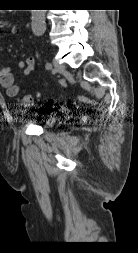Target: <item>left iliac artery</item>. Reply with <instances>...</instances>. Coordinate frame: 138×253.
<instances>
[{
  "instance_id": "44dca946",
  "label": "left iliac artery",
  "mask_w": 138,
  "mask_h": 253,
  "mask_svg": "<svg viewBox=\"0 0 138 253\" xmlns=\"http://www.w3.org/2000/svg\"><path fill=\"white\" fill-rule=\"evenodd\" d=\"M45 67H46L47 70H50L52 68V65L50 63H46Z\"/></svg>"
}]
</instances>
